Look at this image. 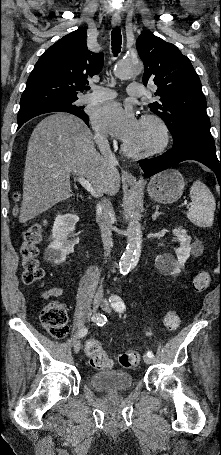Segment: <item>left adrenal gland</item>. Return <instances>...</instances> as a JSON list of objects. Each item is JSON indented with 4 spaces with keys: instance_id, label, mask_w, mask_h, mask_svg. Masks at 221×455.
<instances>
[{
    "instance_id": "left-adrenal-gland-1",
    "label": "left adrenal gland",
    "mask_w": 221,
    "mask_h": 455,
    "mask_svg": "<svg viewBox=\"0 0 221 455\" xmlns=\"http://www.w3.org/2000/svg\"><path fill=\"white\" fill-rule=\"evenodd\" d=\"M154 208H155V212L152 215V220H156L159 215L163 214L162 212H159V206L158 205L155 206Z\"/></svg>"
}]
</instances>
